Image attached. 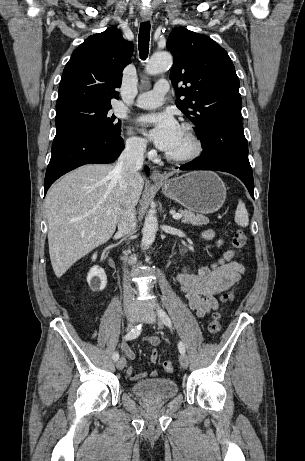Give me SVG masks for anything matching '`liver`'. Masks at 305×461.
Wrapping results in <instances>:
<instances>
[{
	"label": "liver",
	"instance_id": "1",
	"mask_svg": "<svg viewBox=\"0 0 305 461\" xmlns=\"http://www.w3.org/2000/svg\"><path fill=\"white\" fill-rule=\"evenodd\" d=\"M112 165H84L66 174L45 198L52 268L60 278L79 259L107 242L115 232L122 190ZM144 181L130 188L134 206Z\"/></svg>",
	"mask_w": 305,
	"mask_h": 461
}]
</instances>
